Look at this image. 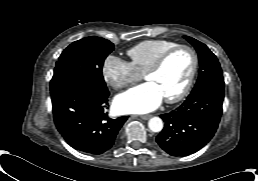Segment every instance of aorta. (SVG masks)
Instances as JSON below:
<instances>
[{
  "instance_id": "obj_1",
  "label": "aorta",
  "mask_w": 258,
  "mask_h": 181,
  "mask_svg": "<svg viewBox=\"0 0 258 181\" xmlns=\"http://www.w3.org/2000/svg\"><path fill=\"white\" fill-rule=\"evenodd\" d=\"M148 127L153 132H160L163 129V121L159 117H153L149 120Z\"/></svg>"
}]
</instances>
